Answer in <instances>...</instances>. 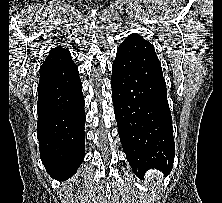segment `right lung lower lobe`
<instances>
[{"label": "right lung lower lobe", "mask_w": 222, "mask_h": 203, "mask_svg": "<svg viewBox=\"0 0 222 203\" xmlns=\"http://www.w3.org/2000/svg\"><path fill=\"white\" fill-rule=\"evenodd\" d=\"M40 157L56 180L71 177L85 155V112L78 67L70 60L40 67L37 103Z\"/></svg>", "instance_id": "98d812e1"}]
</instances>
